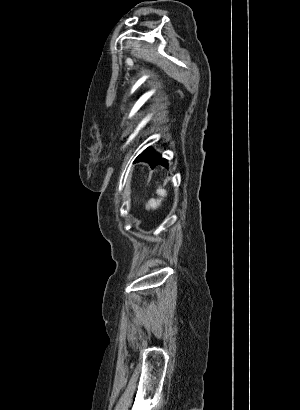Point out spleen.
Returning a JSON list of instances; mask_svg holds the SVG:
<instances>
[{
  "mask_svg": "<svg viewBox=\"0 0 300 410\" xmlns=\"http://www.w3.org/2000/svg\"><path fill=\"white\" fill-rule=\"evenodd\" d=\"M157 194L160 196L159 199H150L148 201V203L146 204V209H156L161 205V202L163 200V198L167 195L166 191L164 189H162V187H159L157 189Z\"/></svg>",
  "mask_w": 300,
  "mask_h": 410,
  "instance_id": "3e777b00",
  "label": "spleen"
}]
</instances>
